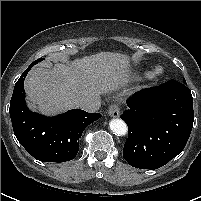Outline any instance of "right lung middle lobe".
<instances>
[{"mask_svg": "<svg viewBox=\"0 0 201 201\" xmlns=\"http://www.w3.org/2000/svg\"><path fill=\"white\" fill-rule=\"evenodd\" d=\"M43 60V58H39L38 60H35L34 62H33V64H37L38 62H40V61H42Z\"/></svg>", "mask_w": 201, "mask_h": 201, "instance_id": "obj_1", "label": "right lung middle lobe"}]
</instances>
